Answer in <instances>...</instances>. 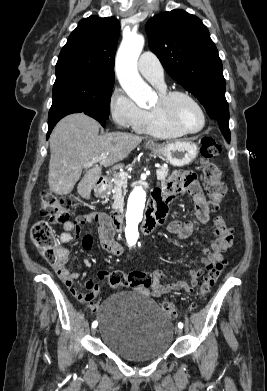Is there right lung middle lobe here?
Masks as SVG:
<instances>
[{"label": "right lung middle lobe", "instance_id": "dd1d6c3e", "mask_svg": "<svg viewBox=\"0 0 267 391\" xmlns=\"http://www.w3.org/2000/svg\"><path fill=\"white\" fill-rule=\"evenodd\" d=\"M114 80L115 75L84 72L57 76L48 118L68 109H79L95 112L108 119Z\"/></svg>", "mask_w": 267, "mask_h": 391}]
</instances>
